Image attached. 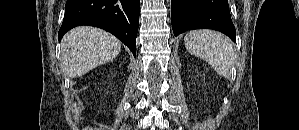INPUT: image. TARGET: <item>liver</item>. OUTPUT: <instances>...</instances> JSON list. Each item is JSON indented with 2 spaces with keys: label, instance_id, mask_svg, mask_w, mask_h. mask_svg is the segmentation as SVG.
<instances>
[{
  "label": "liver",
  "instance_id": "6515ba94",
  "mask_svg": "<svg viewBox=\"0 0 299 130\" xmlns=\"http://www.w3.org/2000/svg\"><path fill=\"white\" fill-rule=\"evenodd\" d=\"M121 42L99 28L81 26L69 31L61 42V69L65 76L80 77L114 59Z\"/></svg>",
  "mask_w": 299,
  "mask_h": 130
}]
</instances>
